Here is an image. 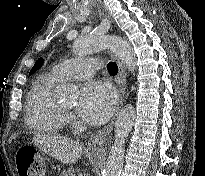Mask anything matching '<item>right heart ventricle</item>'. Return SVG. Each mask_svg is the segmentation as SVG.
Segmentation results:
<instances>
[{
  "mask_svg": "<svg viewBox=\"0 0 205 176\" xmlns=\"http://www.w3.org/2000/svg\"><path fill=\"white\" fill-rule=\"evenodd\" d=\"M62 79L53 72L39 75L26 96V124L35 131L59 135L65 126L66 114L53 97L54 87Z\"/></svg>",
  "mask_w": 205,
  "mask_h": 176,
  "instance_id": "right-heart-ventricle-1",
  "label": "right heart ventricle"
}]
</instances>
